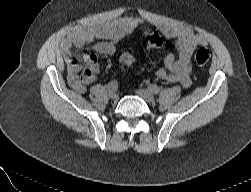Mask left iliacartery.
Masks as SVG:
<instances>
[{"mask_svg": "<svg viewBox=\"0 0 251 192\" xmlns=\"http://www.w3.org/2000/svg\"><path fill=\"white\" fill-rule=\"evenodd\" d=\"M148 90L150 92H152L153 94H159V92H160V88L156 85H153V84L148 86Z\"/></svg>", "mask_w": 251, "mask_h": 192, "instance_id": "obj_1", "label": "left iliac artery"}]
</instances>
